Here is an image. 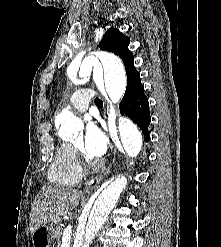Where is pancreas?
Masks as SVG:
<instances>
[{
  "mask_svg": "<svg viewBox=\"0 0 221 247\" xmlns=\"http://www.w3.org/2000/svg\"><path fill=\"white\" fill-rule=\"evenodd\" d=\"M52 225H53L52 227L53 236L57 242H60L61 237H62V232H63V226L56 222L52 223Z\"/></svg>",
  "mask_w": 221,
  "mask_h": 247,
  "instance_id": "pancreas-1",
  "label": "pancreas"
}]
</instances>
